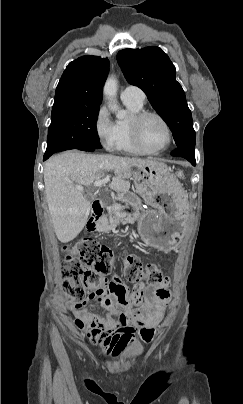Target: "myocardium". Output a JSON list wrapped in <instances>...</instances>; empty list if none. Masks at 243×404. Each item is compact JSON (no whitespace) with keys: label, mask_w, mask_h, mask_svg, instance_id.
I'll return each mask as SVG.
<instances>
[{"label":"myocardium","mask_w":243,"mask_h":404,"mask_svg":"<svg viewBox=\"0 0 243 404\" xmlns=\"http://www.w3.org/2000/svg\"><path fill=\"white\" fill-rule=\"evenodd\" d=\"M148 116L158 117L160 120H162V122L165 124V126L167 128V131H168L167 143L159 149H152V148L148 147L147 145L144 144V142L140 138L139 126H140L141 122ZM128 129H129L133 142L136 144V146H138L141 150L145 151L146 153L155 154V153L163 152V151L167 150L173 142V129H172L170 122L167 120V118L162 113L155 111V110H146L145 109V110L140 111L136 115L132 116L128 123Z\"/></svg>","instance_id":"myocardium-1"}]
</instances>
